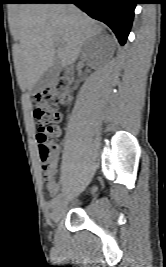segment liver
I'll return each mask as SVG.
<instances>
[{
	"label": "liver",
	"mask_w": 166,
	"mask_h": 267,
	"mask_svg": "<svg viewBox=\"0 0 166 267\" xmlns=\"http://www.w3.org/2000/svg\"><path fill=\"white\" fill-rule=\"evenodd\" d=\"M102 27L73 4H23L18 8L13 35L19 40L15 69L20 88L34 87L56 59L73 64L83 44ZM56 38L63 43L56 48Z\"/></svg>",
	"instance_id": "obj_1"
}]
</instances>
